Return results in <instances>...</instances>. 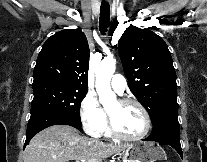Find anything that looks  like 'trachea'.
I'll use <instances>...</instances> for the list:
<instances>
[{"instance_id": "trachea-1", "label": "trachea", "mask_w": 207, "mask_h": 162, "mask_svg": "<svg viewBox=\"0 0 207 162\" xmlns=\"http://www.w3.org/2000/svg\"><path fill=\"white\" fill-rule=\"evenodd\" d=\"M110 21V7L105 1H102L100 8L99 29L102 34H105Z\"/></svg>"}]
</instances>
